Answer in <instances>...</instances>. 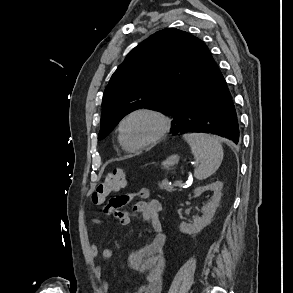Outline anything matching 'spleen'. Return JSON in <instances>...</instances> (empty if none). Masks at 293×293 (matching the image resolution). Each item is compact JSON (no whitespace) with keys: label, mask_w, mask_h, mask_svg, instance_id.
I'll return each instance as SVG.
<instances>
[{"label":"spleen","mask_w":293,"mask_h":293,"mask_svg":"<svg viewBox=\"0 0 293 293\" xmlns=\"http://www.w3.org/2000/svg\"><path fill=\"white\" fill-rule=\"evenodd\" d=\"M183 138L189 144L195 158L201 161L194 171L195 178L203 180L211 176L223 160V148L219 140L204 133H187Z\"/></svg>","instance_id":"spleen-1"}]
</instances>
